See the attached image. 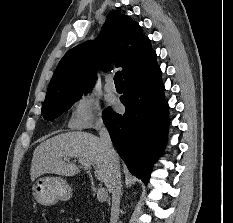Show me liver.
I'll return each mask as SVG.
<instances>
[{
    "instance_id": "6515ba94",
    "label": "liver",
    "mask_w": 233,
    "mask_h": 223,
    "mask_svg": "<svg viewBox=\"0 0 233 223\" xmlns=\"http://www.w3.org/2000/svg\"><path fill=\"white\" fill-rule=\"evenodd\" d=\"M74 157L73 161H68ZM76 159H84L94 165V177L108 187L112 175L110 159L104 151L100 137L86 131H68L59 133L42 141L33 151L30 167L32 181L44 173L56 175H77L81 169Z\"/></svg>"
}]
</instances>
